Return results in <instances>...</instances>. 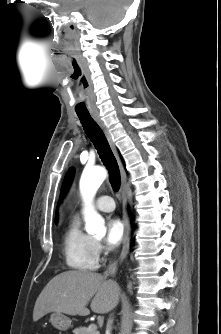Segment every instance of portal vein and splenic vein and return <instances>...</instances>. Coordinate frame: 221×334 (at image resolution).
Segmentation results:
<instances>
[{
    "label": "portal vein and splenic vein",
    "instance_id": "1",
    "mask_svg": "<svg viewBox=\"0 0 221 334\" xmlns=\"http://www.w3.org/2000/svg\"><path fill=\"white\" fill-rule=\"evenodd\" d=\"M88 330H89L90 332H95V331H97V326H96V324H90L89 327H88Z\"/></svg>",
    "mask_w": 221,
    "mask_h": 334
}]
</instances>
